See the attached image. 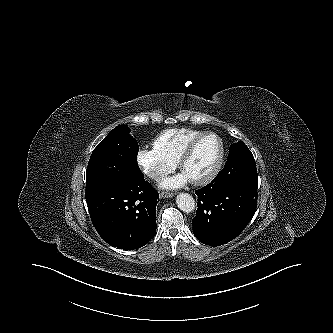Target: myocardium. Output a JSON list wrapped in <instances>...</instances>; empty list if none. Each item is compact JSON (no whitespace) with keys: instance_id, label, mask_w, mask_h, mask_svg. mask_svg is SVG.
Wrapping results in <instances>:
<instances>
[{"instance_id":"obj_1","label":"myocardium","mask_w":333,"mask_h":333,"mask_svg":"<svg viewBox=\"0 0 333 333\" xmlns=\"http://www.w3.org/2000/svg\"><path fill=\"white\" fill-rule=\"evenodd\" d=\"M212 136L215 137L219 143V153H218V157L215 161V163L213 164V166L210 168V170L204 174L203 176L191 180V182L193 184L196 185H203L206 184L208 182H210L219 172L223 160H224V153H225V149H224V144L222 139L214 132H203L202 134H200L199 136H197L196 138H194L183 150V152L181 153L179 160H178V166L180 168V170L183 169L184 164L186 163V161L190 158V156L193 154V152L195 151L196 147L198 146V144L205 138Z\"/></svg>"}]
</instances>
